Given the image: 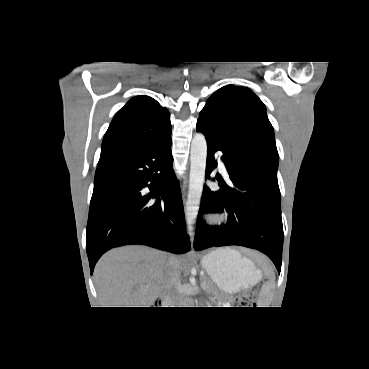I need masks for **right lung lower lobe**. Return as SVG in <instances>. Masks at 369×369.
<instances>
[{
    "instance_id": "right-lung-lower-lobe-1",
    "label": "right lung lower lobe",
    "mask_w": 369,
    "mask_h": 369,
    "mask_svg": "<svg viewBox=\"0 0 369 369\" xmlns=\"http://www.w3.org/2000/svg\"><path fill=\"white\" fill-rule=\"evenodd\" d=\"M171 144L170 133L98 163L86 234L91 274L101 255L118 246L190 250Z\"/></svg>"
}]
</instances>
